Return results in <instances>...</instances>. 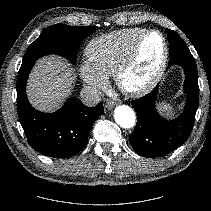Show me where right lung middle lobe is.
<instances>
[{
    "instance_id": "obj_1",
    "label": "right lung middle lobe",
    "mask_w": 211,
    "mask_h": 211,
    "mask_svg": "<svg viewBox=\"0 0 211 211\" xmlns=\"http://www.w3.org/2000/svg\"><path fill=\"white\" fill-rule=\"evenodd\" d=\"M94 31L91 26L52 25L28 47L22 65L48 54L63 55L75 63L82 41Z\"/></svg>"
}]
</instances>
